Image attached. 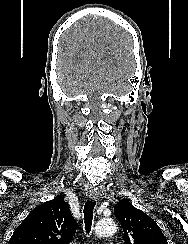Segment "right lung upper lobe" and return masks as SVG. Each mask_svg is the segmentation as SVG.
Wrapping results in <instances>:
<instances>
[{
    "label": "right lung upper lobe",
    "mask_w": 188,
    "mask_h": 244,
    "mask_svg": "<svg viewBox=\"0 0 188 244\" xmlns=\"http://www.w3.org/2000/svg\"><path fill=\"white\" fill-rule=\"evenodd\" d=\"M76 220L62 196L34 208L16 228L9 244H68Z\"/></svg>",
    "instance_id": "right-lung-upper-lobe-1"
}]
</instances>
